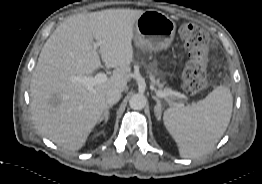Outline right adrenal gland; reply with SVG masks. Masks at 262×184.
<instances>
[{"label": "right adrenal gland", "mask_w": 262, "mask_h": 184, "mask_svg": "<svg viewBox=\"0 0 262 184\" xmlns=\"http://www.w3.org/2000/svg\"><path fill=\"white\" fill-rule=\"evenodd\" d=\"M113 105L112 104H109V105H106V108L99 120V123H101L102 121H104V124L107 123L108 119H109V109L112 108Z\"/></svg>", "instance_id": "1"}]
</instances>
